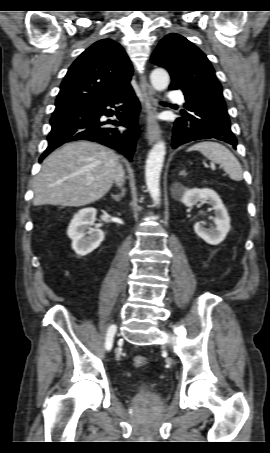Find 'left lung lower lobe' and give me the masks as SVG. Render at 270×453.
<instances>
[{"mask_svg":"<svg viewBox=\"0 0 270 453\" xmlns=\"http://www.w3.org/2000/svg\"><path fill=\"white\" fill-rule=\"evenodd\" d=\"M185 108L181 111L182 117L174 123V149L190 141L211 138L227 142L236 149L237 139L230 129L228 119L196 104L186 102Z\"/></svg>","mask_w":270,"mask_h":453,"instance_id":"obj_1","label":"left lung lower lobe"}]
</instances>
